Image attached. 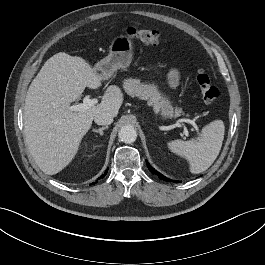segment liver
I'll return each instance as SVG.
<instances>
[{
    "instance_id": "1",
    "label": "liver",
    "mask_w": 265,
    "mask_h": 265,
    "mask_svg": "<svg viewBox=\"0 0 265 265\" xmlns=\"http://www.w3.org/2000/svg\"><path fill=\"white\" fill-rule=\"evenodd\" d=\"M102 80L83 58L60 52L44 63L31 82L24 106V133L44 173L57 174L73 160L96 114H118L123 97L116 86L109 87L101 103L87 110L69 109L86 87L97 89Z\"/></svg>"
}]
</instances>
